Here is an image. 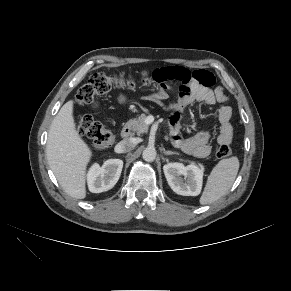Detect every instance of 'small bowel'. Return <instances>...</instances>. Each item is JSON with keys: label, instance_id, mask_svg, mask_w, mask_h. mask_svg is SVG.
<instances>
[{"label": "small bowel", "instance_id": "1", "mask_svg": "<svg viewBox=\"0 0 291 291\" xmlns=\"http://www.w3.org/2000/svg\"><path fill=\"white\" fill-rule=\"evenodd\" d=\"M155 72L160 78L164 79V82L158 83L159 86L156 91L148 95L147 99L164 103L168 98L165 89L170 84H179V94L176 100L167 106L172 111L170 119L171 140L176 147L199 158H204L210 153L209 142L211 135L209 131H201L187 138H183L180 132L182 112L194 102L208 106L219 105L217 112L219 122L217 142L220 145L231 143L233 137L232 109L227 105V96L223 89L221 87L212 88L215 79L210 72L205 70L191 72L179 66L159 68ZM200 74H203L206 79L201 80ZM118 100L120 103H124L126 98L124 95H119Z\"/></svg>", "mask_w": 291, "mask_h": 291}]
</instances>
